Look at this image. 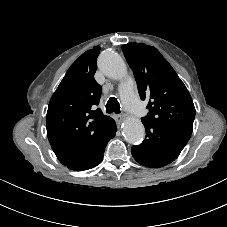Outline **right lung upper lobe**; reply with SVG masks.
<instances>
[{
  "label": "right lung upper lobe",
  "instance_id": "1",
  "mask_svg": "<svg viewBox=\"0 0 227 227\" xmlns=\"http://www.w3.org/2000/svg\"><path fill=\"white\" fill-rule=\"evenodd\" d=\"M99 53L95 46L71 65L48 105L47 136L63 165L94 151L113 120L96 109L101 95L94 79Z\"/></svg>",
  "mask_w": 227,
  "mask_h": 227
}]
</instances>
